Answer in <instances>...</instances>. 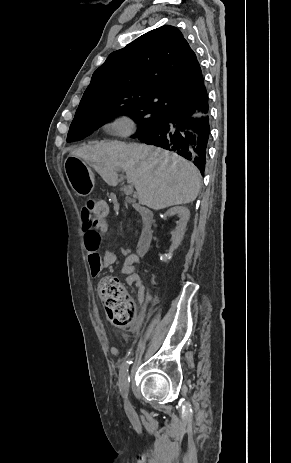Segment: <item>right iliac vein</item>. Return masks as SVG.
Here are the masks:
<instances>
[{"mask_svg":"<svg viewBox=\"0 0 291 463\" xmlns=\"http://www.w3.org/2000/svg\"><path fill=\"white\" fill-rule=\"evenodd\" d=\"M126 394H127V392L124 393L125 398H126ZM124 406H125L126 410H129L130 407H131L130 402H129V400L127 398L125 399Z\"/></svg>","mask_w":291,"mask_h":463,"instance_id":"obj_1","label":"right iliac vein"}]
</instances>
